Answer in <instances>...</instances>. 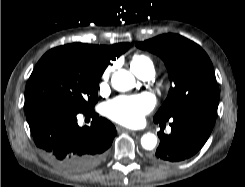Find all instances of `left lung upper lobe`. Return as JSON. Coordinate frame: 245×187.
Wrapping results in <instances>:
<instances>
[{
    "label": "left lung upper lobe",
    "mask_w": 245,
    "mask_h": 187,
    "mask_svg": "<svg viewBox=\"0 0 245 187\" xmlns=\"http://www.w3.org/2000/svg\"><path fill=\"white\" fill-rule=\"evenodd\" d=\"M136 46L160 56L173 82L154 119L168 120L194 110L218 108L220 93L213 65L199 45L169 33L137 42Z\"/></svg>",
    "instance_id": "obj_1"
}]
</instances>
